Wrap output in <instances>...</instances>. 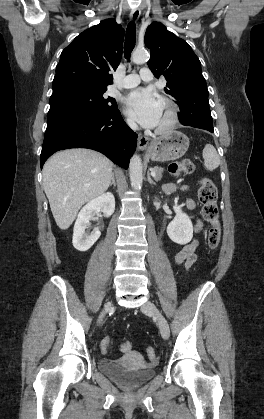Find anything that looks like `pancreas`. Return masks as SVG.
I'll use <instances>...</instances> for the list:
<instances>
[{
    "instance_id": "obj_1",
    "label": "pancreas",
    "mask_w": 264,
    "mask_h": 419,
    "mask_svg": "<svg viewBox=\"0 0 264 419\" xmlns=\"http://www.w3.org/2000/svg\"><path fill=\"white\" fill-rule=\"evenodd\" d=\"M153 170L156 172L155 180L159 181L162 178L163 168L155 167Z\"/></svg>"
}]
</instances>
